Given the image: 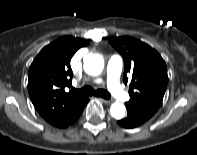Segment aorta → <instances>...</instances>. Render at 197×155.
Segmentation results:
<instances>
[{
  "label": "aorta",
  "mask_w": 197,
  "mask_h": 155,
  "mask_svg": "<svg viewBox=\"0 0 197 155\" xmlns=\"http://www.w3.org/2000/svg\"><path fill=\"white\" fill-rule=\"evenodd\" d=\"M104 68V59L99 54H90L84 58V70L89 75H99ZM126 108L122 103L115 102L110 107V114L115 119L124 117Z\"/></svg>",
  "instance_id": "obj_1"
}]
</instances>
